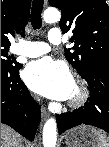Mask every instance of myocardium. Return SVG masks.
Listing matches in <instances>:
<instances>
[{
	"label": "myocardium",
	"instance_id": "obj_1",
	"mask_svg": "<svg viewBox=\"0 0 109 147\" xmlns=\"http://www.w3.org/2000/svg\"><path fill=\"white\" fill-rule=\"evenodd\" d=\"M73 81L78 92L76 97L68 100V106L73 109H78L87 103L90 97V90L85 80L81 77L76 76Z\"/></svg>",
	"mask_w": 109,
	"mask_h": 147
}]
</instances>
